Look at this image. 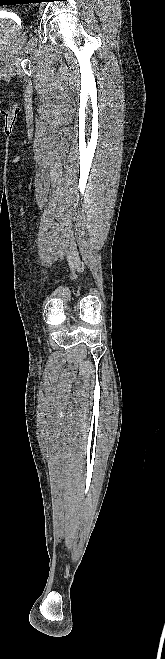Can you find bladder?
<instances>
[{"label": "bladder", "instance_id": "1", "mask_svg": "<svg viewBox=\"0 0 165 659\" xmlns=\"http://www.w3.org/2000/svg\"><path fill=\"white\" fill-rule=\"evenodd\" d=\"M23 28L15 25L14 30L11 29L8 25L2 23L0 24V34L13 33V31H21Z\"/></svg>", "mask_w": 165, "mask_h": 659}]
</instances>
